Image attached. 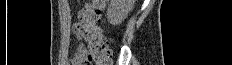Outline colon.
Here are the masks:
<instances>
[{
  "label": "colon",
  "mask_w": 232,
  "mask_h": 65,
  "mask_svg": "<svg viewBox=\"0 0 232 65\" xmlns=\"http://www.w3.org/2000/svg\"><path fill=\"white\" fill-rule=\"evenodd\" d=\"M104 0H93L86 4L80 13V21L85 33V45L82 51L87 56V64L111 65L109 42L99 27Z\"/></svg>",
  "instance_id": "1"
}]
</instances>
